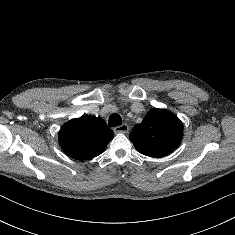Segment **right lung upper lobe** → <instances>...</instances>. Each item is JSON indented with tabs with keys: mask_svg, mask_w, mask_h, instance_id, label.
<instances>
[{
	"mask_svg": "<svg viewBox=\"0 0 235 235\" xmlns=\"http://www.w3.org/2000/svg\"><path fill=\"white\" fill-rule=\"evenodd\" d=\"M113 136L105 121L93 116L68 121L58 135L63 151L78 160L91 159L103 153Z\"/></svg>",
	"mask_w": 235,
	"mask_h": 235,
	"instance_id": "1",
	"label": "right lung upper lobe"
}]
</instances>
